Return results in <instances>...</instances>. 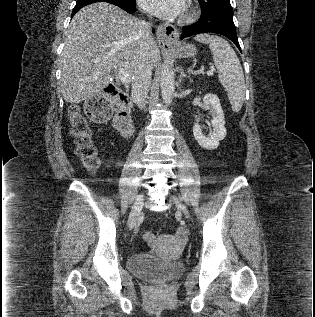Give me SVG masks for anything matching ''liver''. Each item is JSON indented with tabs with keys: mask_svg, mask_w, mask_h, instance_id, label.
I'll return each mask as SVG.
<instances>
[{
	"mask_svg": "<svg viewBox=\"0 0 315 317\" xmlns=\"http://www.w3.org/2000/svg\"><path fill=\"white\" fill-rule=\"evenodd\" d=\"M141 21L108 3H94L73 17L64 36L61 55L63 99L78 104L100 93L111 81L112 70L122 68L129 81L140 65ZM153 69L159 59L152 39L147 47Z\"/></svg>",
	"mask_w": 315,
	"mask_h": 317,
	"instance_id": "6515ba94",
	"label": "liver"
}]
</instances>
